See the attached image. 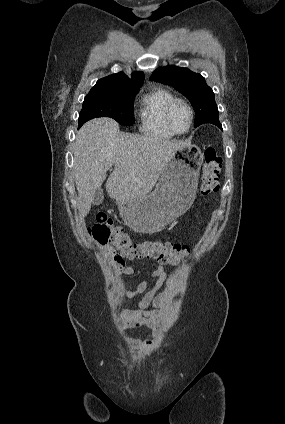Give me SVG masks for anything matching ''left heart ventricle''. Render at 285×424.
Instances as JSON below:
<instances>
[{"label":"left heart ventricle","instance_id":"1","mask_svg":"<svg viewBox=\"0 0 285 424\" xmlns=\"http://www.w3.org/2000/svg\"><path fill=\"white\" fill-rule=\"evenodd\" d=\"M171 121L178 131L186 130L190 122V115L187 108L183 105H177L172 111Z\"/></svg>","mask_w":285,"mask_h":424}]
</instances>
